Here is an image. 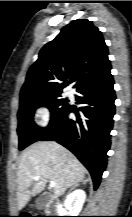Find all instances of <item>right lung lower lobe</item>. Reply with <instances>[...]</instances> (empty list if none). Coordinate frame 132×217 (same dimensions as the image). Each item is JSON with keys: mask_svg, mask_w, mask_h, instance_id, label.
Instances as JSON below:
<instances>
[{"mask_svg": "<svg viewBox=\"0 0 132 217\" xmlns=\"http://www.w3.org/2000/svg\"><path fill=\"white\" fill-rule=\"evenodd\" d=\"M114 80L77 90L79 111L69 107L61 114L50 130L40 140L56 141L69 149L89 170L94 189L99 186L107 164V151L110 148V131L115 114ZM74 112L77 120L70 118ZM39 140V141H40Z\"/></svg>", "mask_w": 132, "mask_h": 217, "instance_id": "98d812e1", "label": "right lung lower lobe"}]
</instances>
